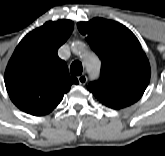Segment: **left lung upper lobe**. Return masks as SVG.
I'll return each mask as SVG.
<instances>
[{
    "instance_id": "obj_1",
    "label": "left lung upper lobe",
    "mask_w": 165,
    "mask_h": 156,
    "mask_svg": "<svg viewBox=\"0 0 165 156\" xmlns=\"http://www.w3.org/2000/svg\"><path fill=\"white\" fill-rule=\"evenodd\" d=\"M77 27L102 61L101 77L88 90L113 109L138 101L149 83L150 65L136 36L124 25L103 18L79 22Z\"/></svg>"
}]
</instances>
